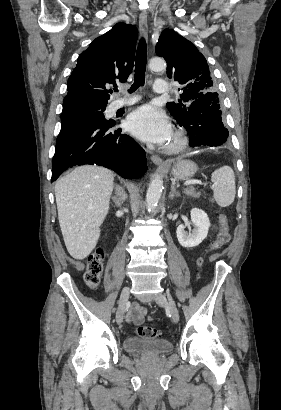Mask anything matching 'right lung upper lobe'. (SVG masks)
<instances>
[{
    "mask_svg": "<svg viewBox=\"0 0 281 410\" xmlns=\"http://www.w3.org/2000/svg\"><path fill=\"white\" fill-rule=\"evenodd\" d=\"M137 34L135 26L117 23L96 38L77 59L67 82L63 107L106 106L110 99L107 86L116 80L125 82L132 71Z\"/></svg>",
    "mask_w": 281,
    "mask_h": 410,
    "instance_id": "right-lung-upper-lobe-1",
    "label": "right lung upper lobe"
}]
</instances>
